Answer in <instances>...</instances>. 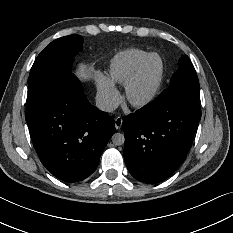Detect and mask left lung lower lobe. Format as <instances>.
Returning a JSON list of instances; mask_svg holds the SVG:
<instances>
[{"label": "left lung lower lobe", "instance_id": "1", "mask_svg": "<svg viewBox=\"0 0 233 233\" xmlns=\"http://www.w3.org/2000/svg\"><path fill=\"white\" fill-rule=\"evenodd\" d=\"M201 118L199 103L153 101L123 121L124 158L137 180L155 184L183 162Z\"/></svg>", "mask_w": 233, "mask_h": 233}]
</instances>
